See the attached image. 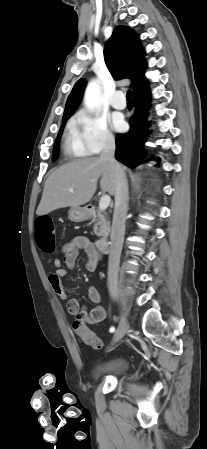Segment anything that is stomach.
<instances>
[{"instance_id": "0dacf381", "label": "stomach", "mask_w": 207, "mask_h": 449, "mask_svg": "<svg viewBox=\"0 0 207 449\" xmlns=\"http://www.w3.org/2000/svg\"><path fill=\"white\" fill-rule=\"evenodd\" d=\"M89 217V211L85 207H71L68 211V218L72 222H82Z\"/></svg>"}]
</instances>
